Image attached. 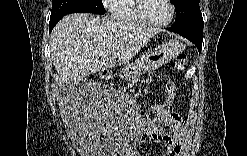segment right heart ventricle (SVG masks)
I'll return each mask as SVG.
<instances>
[{
    "label": "right heart ventricle",
    "instance_id": "1",
    "mask_svg": "<svg viewBox=\"0 0 247 156\" xmlns=\"http://www.w3.org/2000/svg\"><path fill=\"white\" fill-rule=\"evenodd\" d=\"M133 0H119L111 7L113 16L124 22L140 23V20L134 12Z\"/></svg>",
    "mask_w": 247,
    "mask_h": 156
}]
</instances>
